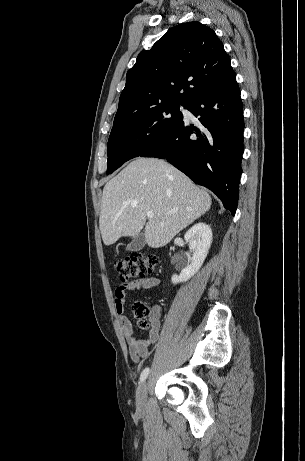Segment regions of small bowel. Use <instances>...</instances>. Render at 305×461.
Wrapping results in <instances>:
<instances>
[{
	"mask_svg": "<svg viewBox=\"0 0 305 461\" xmlns=\"http://www.w3.org/2000/svg\"><path fill=\"white\" fill-rule=\"evenodd\" d=\"M159 285V280L155 277L140 278L116 287L114 302L115 311L119 317L121 331L129 347V354L134 363H140L148 358L149 347L154 346L158 340L160 329V306H153L149 319L146 338L139 339L135 336L132 325L125 315V306L130 292L140 289L155 288Z\"/></svg>",
	"mask_w": 305,
	"mask_h": 461,
	"instance_id": "c3829d8e",
	"label": "small bowel"
}]
</instances>
